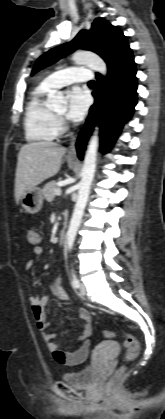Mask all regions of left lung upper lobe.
<instances>
[{
    "mask_svg": "<svg viewBox=\"0 0 165 419\" xmlns=\"http://www.w3.org/2000/svg\"><path fill=\"white\" fill-rule=\"evenodd\" d=\"M77 48L97 53L105 60L108 68L130 49L127 38L118 27L102 18H97L89 31L83 30L71 42L43 54L35 63L31 75Z\"/></svg>",
    "mask_w": 165,
    "mask_h": 419,
    "instance_id": "obj_1",
    "label": "left lung upper lobe"
}]
</instances>
